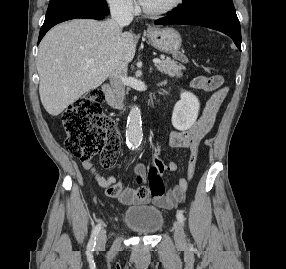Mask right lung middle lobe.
<instances>
[{
	"mask_svg": "<svg viewBox=\"0 0 286 269\" xmlns=\"http://www.w3.org/2000/svg\"><path fill=\"white\" fill-rule=\"evenodd\" d=\"M73 11H92L109 14L105 0H50L45 20Z\"/></svg>",
	"mask_w": 286,
	"mask_h": 269,
	"instance_id": "right-lung-middle-lobe-1",
	"label": "right lung middle lobe"
}]
</instances>
